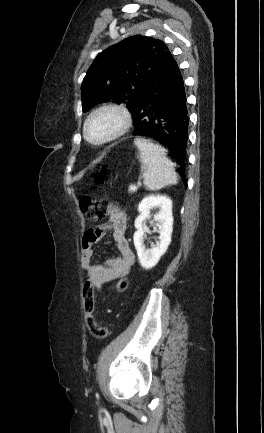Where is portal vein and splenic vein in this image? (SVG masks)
Listing matches in <instances>:
<instances>
[{
	"label": "portal vein and splenic vein",
	"mask_w": 264,
	"mask_h": 433,
	"mask_svg": "<svg viewBox=\"0 0 264 433\" xmlns=\"http://www.w3.org/2000/svg\"><path fill=\"white\" fill-rule=\"evenodd\" d=\"M136 189H137V188H136L135 185H131V186H129L128 191H129L130 193H132V192H134Z\"/></svg>",
	"instance_id": "18ae733b"
}]
</instances>
